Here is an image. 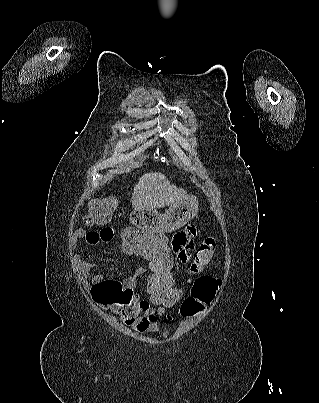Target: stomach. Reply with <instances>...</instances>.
Returning a JSON list of instances; mask_svg holds the SVG:
<instances>
[{"label": "stomach", "mask_w": 319, "mask_h": 403, "mask_svg": "<svg viewBox=\"0 0 319 403\" xmlns=\"http://www.w3.org/2000/svg\"><path fill=\"white\" fill-rule=\"evenodd\" d=\"M198 200L194 196L173 204L165 213L154 209L132 210L129 223L142 230V234H163L175 231L187 224L198 212Z\"/></svg>", "instance_id": "0dacf381"}]
</instances>
